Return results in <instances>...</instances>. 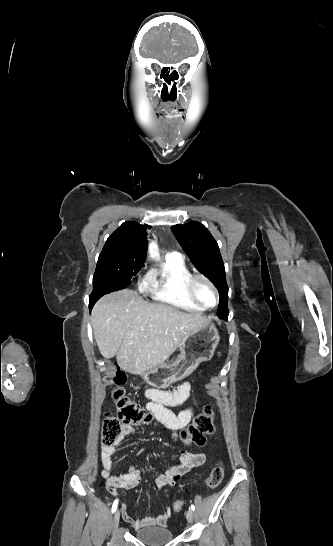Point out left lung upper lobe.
Masks as SVG:
<instances>
[{"label":"left lung upper lobe","instance_id":"obj_1","mask_svg":"<svg viewBox=\"0 0 333 546\" xmlns=\"http://www.w3.org/2000/svg\"><path fill=\"white\" fill-rule=\"evenodd\" d=\"M171 230L196 269L218 289L220 295L218 317L227 319L228 286L217 242L209 230L196 221L174 225Z\"/></svg>","mask_w":333,"mask_h":546}]
</instances>
